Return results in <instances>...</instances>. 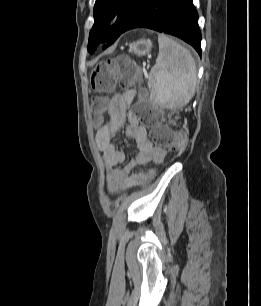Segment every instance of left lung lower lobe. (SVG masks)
<instances>
[{"instance_id": "obj_1", "label": "left lung lower lobe", "mask_w": 261, "mask_h": 306, "mask_svg": "<svg viewBox=\"0 0 261 306\" xmlns=\"http://www.w3.org/2000/svg\"><path fill=\"white\" fill-rule=\"evenodd\" d=\"M134 28L176 36L201 55V32L192 0H145L124 32Z\"/></svg>"}]
</instances>
